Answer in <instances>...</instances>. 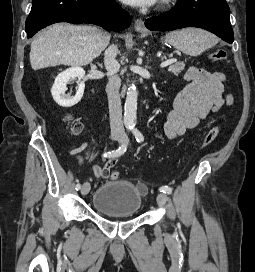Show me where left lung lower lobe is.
<instances>
[{
  "label": "left lung lower lobe",
  "instance_id": "0a47b994",
  "mask_svg": "<svg viewBox=\"0 0 255 272\" xmlns=\"http://www.w3.org/2000/svg\"><path fill=\"white\" fill-rule=\"evenodd\" d=\"M229 15L230 9L225 0H178L174 9L147 19L145 26L155 31L199 27L232 43L234 37Z\"/></svg>",
  "mask_w": 255,
  "mask_h": 272
}]
</instances>
